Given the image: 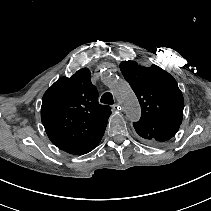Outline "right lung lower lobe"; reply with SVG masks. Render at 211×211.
Masks as SVG:
<instances>
[{"label":"right lung lower lobe","mask_w":211,"mask_h":211,"mask_svg":"<svg viewBox=\"0 0 211 211\" xmlns=\"http://www.w3.org/2000/svg\"><path fill=\"white\" fill-rule=\"evenodd\" d=\"M101 138H99L97 140L89 141L87 143H84V144H81V145H78V146L68 148L64 151L67 152V153H70V154H74V155L86 154V153L90 152L91 150H93L98 145Z\"/></svg>","instance_id":"1"}]
</instances>
